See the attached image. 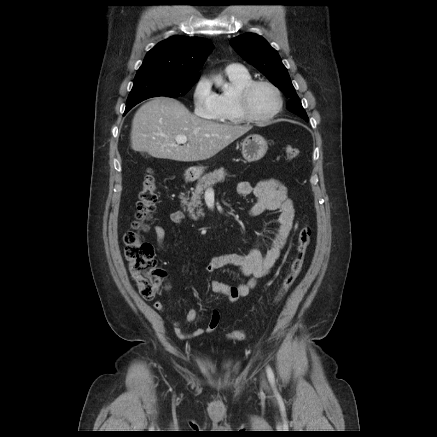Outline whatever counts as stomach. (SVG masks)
Masks as SVG:
<instances>
[{
  "mask_svg": "<svg viewBox=\"0 0 437 437\" xmlns=\"http://www.w3.org/2000/svg\"><path fill=\"white\" fill-rule=\"evenodd\" d=\"M242 155L248 162H254L264 157L268 150L267 141L260 135L253 134L246 137L241 143ZM195 176H200L204 172V167L196 166L191 168Z\"/></svg>",
  "mask_w": 437,
  "mask_h": 437,
  "instance_id": "0dacf381",
  "label": "stomach"
}]
</instances>
